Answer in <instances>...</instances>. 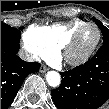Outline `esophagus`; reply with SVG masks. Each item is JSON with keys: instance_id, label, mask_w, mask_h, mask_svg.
I'll return each mask as SVG.
<instances>
[{"instance_id": "34e87169", "label": "esophagus", "mask_w": 109, "mask_h": 109, "mask_svg": "<svg viewBox=\"0 0 109 109\" xmlns=\"http://www.w3.org/2000/svg\"><path fill=\"white\" fill-rule=\"evenodd\" d=\"M49 70V68L48 67H46L45 65H42L41 67H40V72L41 73H45V72H47Z\"/></svg>"}]
</instances>
